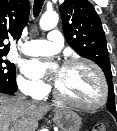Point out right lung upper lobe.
<instances>
[{
    "instance_id": "obj_1",
    "label": "right lung upper lobe",
    "mask_w": 117,
    "mask_h": 131,
    "mask_svg": "<svg viewBox=\"0 0 117 131\" xmlns=\"http://www.w3.org/2000/svg\"><path fill=\"white\" fill-rule=\"evenodd\" d=\"M28 0H0V52L10 50L7 39L20 38L29 17Z\"/></svg>"
}]
</instances>
